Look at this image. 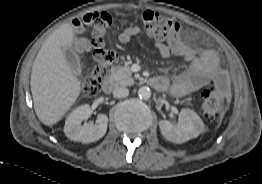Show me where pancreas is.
Listing matches in <instances>:
<instances>
[{"label": "pancreas", "instance_id": "pancreas-1", "mask_svg": "<svg viewBox=\"0 0 262 184\" xmlns=\"http://www.w3.org/2000/svg\"><path fill=\"white\" fill-rule=\"evenodd\" d=\"M131 76H132V73L128 66L111 68L110 79L116 85L129 86V85L134 84V80Z\"/></svg>", "mask_w": 262, "mask_h": 184}]
</instances>
